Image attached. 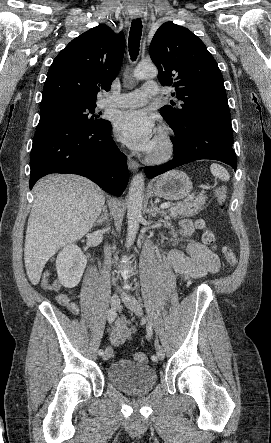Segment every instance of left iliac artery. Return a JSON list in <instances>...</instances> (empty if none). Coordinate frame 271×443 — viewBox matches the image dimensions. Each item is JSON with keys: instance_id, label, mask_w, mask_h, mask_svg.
<instances>
[{"instance_id": "obj_1", "label": "left iliac artery", "mask_w": 271, "mask_h": 443, "mask_svg": "<svg viewBox=\"0 0 271 443\" xmlns=\"http://www.w3.org/2000/svg\"><path fill=\"white\" fill-rule=\"evenodd\" d=\"M146 331H147V338H151L152 337V334H153V330H152V326H151V324L148 322V324H147V329H146ZM157 357L158 356H156V355H152L151 356V360L152 361H157Z\"/></svg>"}]
</instances>
